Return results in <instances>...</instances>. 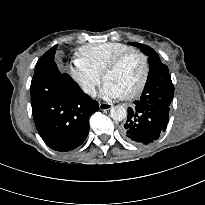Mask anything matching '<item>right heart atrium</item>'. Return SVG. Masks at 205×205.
Listing matches in <instances>:
<instances>
[{
	"mask_svg": "<svg viewBox=\"0 0 205 205\" xmlns=\"http://www.w3.org/2000/svg\"><path fill=\"white\" fill-rule=\"evenodd\" d=\"M70 75L86 95L94 96L96 88L101 82L100 74L76 59L70 67Z\"/></svg>",
	"mask_w": 205,
	"mask_h": 205,
	"instance_id": "1",
	"label": "right heart atrium"
}]
</instances>
